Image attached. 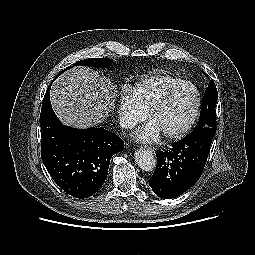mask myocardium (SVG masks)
Instances as JSON below:
<instances>
[{"label": "myocardium", "instance_id": "1", "mask_svg": "<svg viewBox=\"0 0 255 255\" xmlns=\"http://www.w3.org/2000/svg\"><path fill=\"white\" fill-rule=\"evenodd\" d=\"M187 87H192L195 89L196 91V104H195V108L193 111V114L191 116V118L189 119V121L179 130L174 131V132H170V133H165L163 134V136L170 141H176V140H180L182 139L184 136H186L191 129L193 128V126L195 125L199 114H200V110H201V104H202V97H201V92L200 89L197 87L196 84L192 83V82H184L183 84L179 85L178 87L172 89L170 92H168L163 98H161L154 106L153 108L150 110L149 113V118L152 120L153 117L160 112L161 110H163L168 104L169 102L182 90H184Z\"/></svg>", "mask_w": 255, "mask_h": 255}]
</instances>
